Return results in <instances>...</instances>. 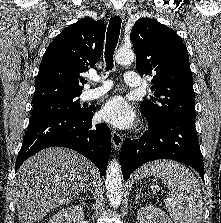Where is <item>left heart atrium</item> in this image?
Listing matches in <instances>:
<instances>
[{"label": "left heart atrium", "mask_w": 221, "mask_h": 223, "mask_svg": "<svg viewBox=\"0 0 221 223\" xmlns=\"http://www.w3.org/2000/svg\"><path fill=\"white\" fill-rule=\"evenodd\" d=\"M99 118L118 128H128L135 120V112L121 96H114L102 106Z\"/></svg>", "instance_id": "obj_1"}]
</instances>
